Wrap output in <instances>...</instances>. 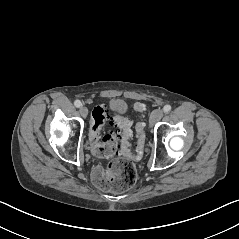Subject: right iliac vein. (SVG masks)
I'll use <instances>...</instances> for the list:
<instances>
[{
	"label": "right iliac vein",
	"mask_w": 239,
	"mask_h": 239,
	"mask_svg": "<svg viewBox=\"0 0 239 239\" xmlns=\"http://www.w3.org/2000/svg\"><path fill=\"white\" fill-rule=\"evenodd\" d=\"M79 112L81 114L82 117H86L88 115V109L85 107V106H82L80 109H79Z\"/></svg>",
	"instance_id": "63e3f726"
}]
</instances>
